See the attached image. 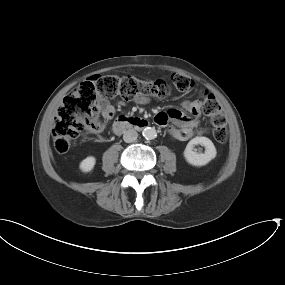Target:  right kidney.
<instances>
[{
	"mask_svg": "<svg viewBox=\"0 0 285 285\" xmlns=\"http://www.w3.org/2000/svg\"><path fill=\"white\" fill-rule=\"evenodd\" d=\"M95 163H96L95 157L88 156L80 163V169L82 172L85 173L90 172L94 168Z\"/></svg>",
	"mask_w": 285,
	"mask_h": 285,
	"instance_id": "1",
	"label": "right kidney"
}]
</instances>
